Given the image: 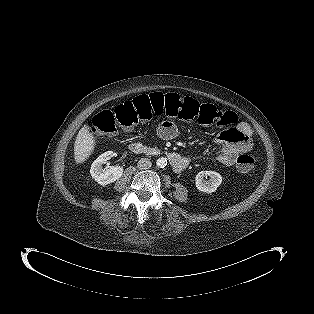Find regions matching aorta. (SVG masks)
<instances>
[{
  "mask_svg": "<svg viewBox=\"0 0 314 314\" xmlns=\"http://www.w3.org/2000/svg\"><path fill=\"white\" fill-rule=\"evenodd\" d=\"M156 165L160 168H164L167 165V158L161 157L159 159H157L156 161Z\"/></svg>",
  "mask_w": 314,
  "mask_h": 314,
  "instance_id": "aorta-1",
  "label": "aorta"
}]
</instances>
